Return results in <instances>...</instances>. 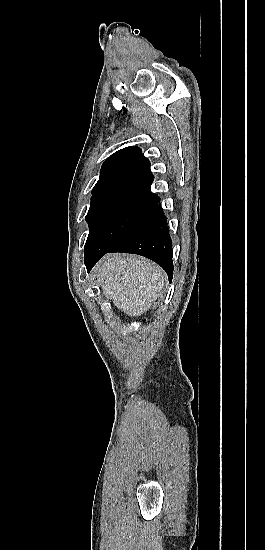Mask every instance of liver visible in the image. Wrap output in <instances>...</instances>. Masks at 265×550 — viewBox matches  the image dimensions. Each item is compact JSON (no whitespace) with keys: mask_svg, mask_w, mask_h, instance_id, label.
I'll return each mask as SVG.
<instances>
[{"mask_svg":"<svg viewBox=\"0 0 265 550\" xmlns=\"http://www.w3.org/2000/svg\"><path fill=\"white\" fill-rule=\"evenodd\" d=\"M103 294L128 316L146 313L161 296L166 274L151 261L126 254L103 257L96 265Z\"/></svg>","mask_w":265,"mask_h":550,"instance_id":"obj_1","label":"liver"}]
</instances>
